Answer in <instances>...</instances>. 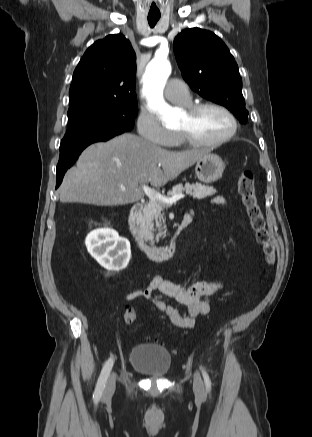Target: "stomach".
<instances>
[{
    "mask_svg": "<svg viewBox=\"0 0 312 437\" xmlns=\"http://www.w3.org/2000/svg\"><path fill=\"white\" fill-rule=\"evenodd\" d=\"M224 169L225 165L222 159L209 152L197 160L195 174L201 182L211 183L222 177Z\"/></svg>",
    "mask_w": 312,
    "mask_h": 437,
    "instance_id": "1",
    "label": "stomach"
}]
</instances>
